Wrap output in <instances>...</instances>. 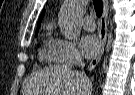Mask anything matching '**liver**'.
I'll return each mask as SVG.
<instances>
[{
    "instance_id": "liver-1",
    "label": "liver",
    "mask_w": 135,
    "mask_h": 95,
    "mask_svg": "<svg viewBox=\"0 0 135 95\" xmlns=\"http://www.w3.org/2000/svg\"><path fill=\"white\" fill-rule=\"evenodd\" d=\"M92 86L84 74L66 65L45 68L31 77L25 95H89Z\"/></svg>"
}]
</instances>
